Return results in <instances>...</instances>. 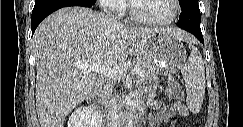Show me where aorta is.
I'll use <instances>...</instances> for the list:
<instances>
[{
    "instance_id": "obj_1",
    "label": "aorta",
    "mask_w": 243,
    "mask_h": 127,
    "mask_svg": "<svg viewBox=\"0 0 243 127\" xmlns=\"http://www.w3.org/2000/svg\"><path fill=\"white\" fill-rule=\"evenodd\" d=\"M126 127H133V114L131 112L127 116Z\"/></svg>"
}]
</instances>
